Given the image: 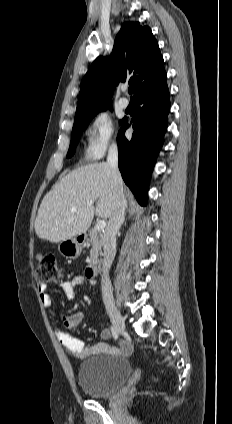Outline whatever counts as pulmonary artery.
I'll use <instances>...</instances> for the list:
<instances>
[{
  "label": "pulmonary artery",
  "instance_id": "1",
  "mask_svg": "<svg viewBox=\"0 0 232 424\" xmlns=\"http://www.w3.org/2000/svg\"><path fill=\"white\" fill-rule=\"evenodd\" d=\"M128 105H129V100H128L127 98H125V97H121V98L119 99V106H120L122 109H126V108L128 107Z\"/></svg>",
  "mask_w": 232,
  "mask_h": 424
}]
</instances>
